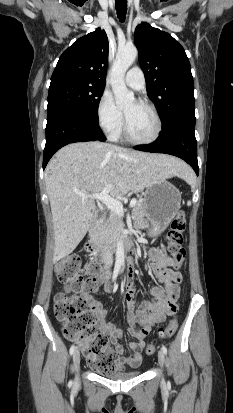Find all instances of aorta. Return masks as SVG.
I'll list each match as a JSON object with an SVG mask.
<instances>
[{"label": "aorta", "mask_w": 233, "mask_h": 413, "mask_svg": "<svg viewBox=\"0 0 233 413\" xmlns=\"http://www.w3.org/2000/svg\"><path fill=\"white\" fill-rule=\"evenodd\" d=\"M138 56L134 46L119 48L112 66L111 87L119 107H126L134 102V93L129 91L125 84V73ZM125 262L123 241L117 242L116 266H123Z\"/></svg>", "instance_id": "1"}]
</instances>
